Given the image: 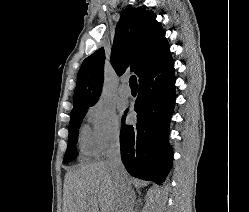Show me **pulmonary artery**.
Returning <instances> with one entry per match:
<instances>
[{
    "instance_id": "pulmonary-artery-1",
    "label": "pulmonary artery",
    "mask_w": 249,
    "mask_h": 212,
    "mask_svg": "<svg viewBox=\"0 0 249 212\" xmlns=\"http://www.w3.org/2000/svg\"><path fill=\"white\" fill-rule=\"evenodd\" d=\"M119 95L123 98H128L131 95V88L129 86V76L122 77V83L119 87Z\"/></svg>"
}]
</instances>
